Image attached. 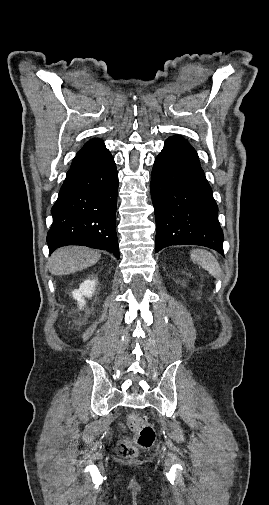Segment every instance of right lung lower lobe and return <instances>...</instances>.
<instances>
[{"label": "right lung lower lobe", "mask_w": 269, "mask_h": 505, "mask_svg": "<svg viewBox=\"0 0 269 505\" xmlns=\"http://www.w3.org/2000/svg\"><path fill=\"white\" fill-rule=\"evenodd\" d=\"M118 173L102 143L77 154L51 209L49 251L65 245L106 250L119 258L115 230Z\"/></svg>", "instance_id": "right-lung-lower-lobe-1"}]
</instances>
